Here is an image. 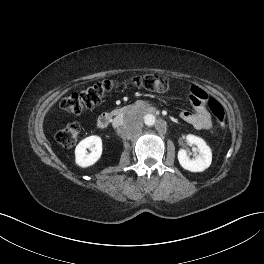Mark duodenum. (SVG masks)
Wrapping results in <instances>:
<instances>
[{
	"mask_svg": "<svg viewBox=\"0 0 264 264\" xmlns=\"http://www.w3.org/2000/svg\"><path fill=\"white\" fill-rule=\"evenodd\" d=\"M131 108V106H123L104 112L97 120V127L100 129L106 128L114 118L121 117L127 110H130ZM143 111L148 114L156 113V109L150 106L143 107ZM159 122L161 121L159 120Z\"/></svg>",
	"mask_w": 264,
	"mask_h": 264,
	"instance_id": "obj_1",
	"label": "duodenum"
}]
</instances>
